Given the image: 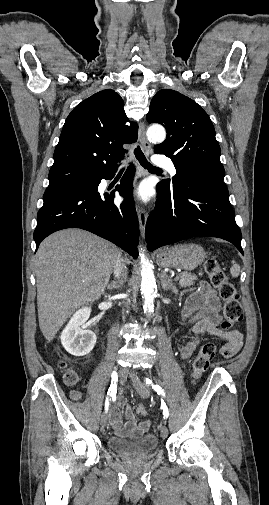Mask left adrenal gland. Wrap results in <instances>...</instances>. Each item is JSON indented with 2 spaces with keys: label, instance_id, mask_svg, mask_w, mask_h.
Returning <instances> with one entry per match:
<instances>
[{
  "label": "left adrenal gland",
  "instance_id": "left-adrenal-gland-1",
  "mask_svg": "<svg viewBox=\"0 0 269 505\" xmlns=\"http://www.w3.org/2000/svg\"><path fill=\"white\" fill-rule=\"evenodd\" d=\"M161 286L163 288L164 291H168V290H172L173 293H177L178 290L175 286V284L173 283L172 279H170L166 272L162 271L161 272Z\"/></svg>",
  "mask_w": 269,
  "mask_h": 505
}]
</instances>
